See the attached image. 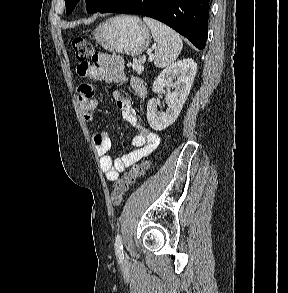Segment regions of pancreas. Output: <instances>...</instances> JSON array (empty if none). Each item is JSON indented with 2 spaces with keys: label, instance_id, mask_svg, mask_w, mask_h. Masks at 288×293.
Here are the masks:
<instances>
[{
  "label": "pancreas",
  "instance_id": "1",
  "mask_svg": "<svg viewBox=\"0 0 288 293\" xmlns=\"http://www.w3.org/2000/svg\"><path fill=\"white\" fill-rule=\"evenodd\" d=\"M141 64L139 61H134L133 65Z\"/></svg>",
  "mask_w": 288,
  "mask_h": 293
}]
</instances>
